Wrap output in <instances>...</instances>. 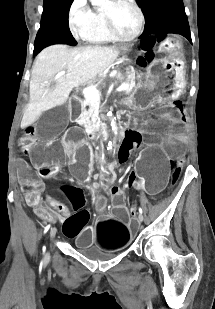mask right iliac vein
I'll use <instances>...</instances> for the list:
<instances>
[{"mask_svg":"<svg viewBox=\"0 0 215 309\" xmlns=\"http://www.w3.org/2000/svg\"><path fill=\"white\" fill-rule=\"evenodd\" d=\"M56 228L55 227H53L52 229H51V231H50V236H51V238H54L55 237V235H56Z\"/></svg>","mask_w":215,"mask_h":309,"instance_id":"obj_1","label":"right iliac vein"}]
</instances>
